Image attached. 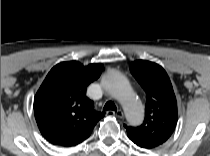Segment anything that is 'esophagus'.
<instances>
[{"mask_svg":"<svg viewBox=\"0 0 210 156\" xmlns=\"http://www.w3.org/2000/svg\"><path fill=\"white\" fill-rule=\"evenodd\" d=\"M107 112H109V110H108ZM113 112H114V111H113ZM115 113H116V115H117L118 117H123V115H124V113H123V111H122L121 109H117V111H116Z\"/></svg>","mask_w":210,"mask_h":156,"instance_id":"34e87169","label":"esophagus"}]
</instances>
